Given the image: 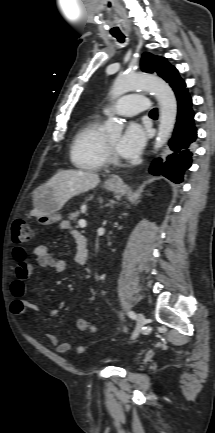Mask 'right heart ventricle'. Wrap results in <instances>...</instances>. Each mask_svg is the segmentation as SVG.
Returning <instances> with one entry per match:
<instances>
[{
  "label": "right heart ventricle",
  "instance_id": "obj_1",
  "mask_svg": "<svg viewBox=\"0 0 215 433\" xmlns=\"http://www.w3.org/2000/svg\"><path fill=\"white\" fill-rule=\"evenodd\" d=\"M70 155L73 164L81 169L98 171L106 165L105 135L99 116L90 117L77 131Z\"/></svg>",
  "mask_w": 215,
  "mask_h": 433
}]
</instances>
